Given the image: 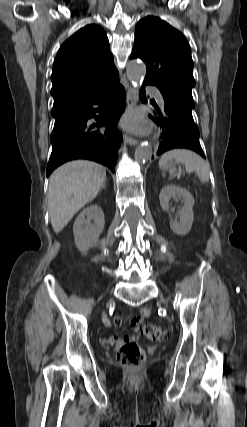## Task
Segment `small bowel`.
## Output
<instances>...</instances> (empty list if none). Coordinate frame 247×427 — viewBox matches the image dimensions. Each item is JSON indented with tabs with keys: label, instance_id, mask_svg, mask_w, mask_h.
Listing matches in <instances>:
<instances>
[{
	"label": "small bowel",
	"instance_id": "1",
	"mask_svg": "<svg viewBox=\"0 0 247 427\" xmlns=\"http://www.w3.org/2000/svg\"><path fill=\"white\" fill-rule=\"evenodd\" d=\"M122 310H119L114 318V324L120 326L122 324ZM150 315V310L148 308H142L138 317L134 318L130 323L131 334L123 338L118 336H110L108 342L116 345H121L126 342H133L137 339V332L139 330L140 324L144 318H147ZM103 322L105 326L110 327L111 322L107 317H104Z\"/></svg>",
	"mask_w": 247,
	"mask_h": 427
}]
</instances>
